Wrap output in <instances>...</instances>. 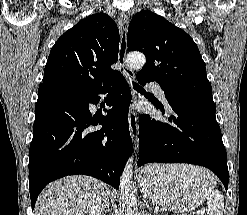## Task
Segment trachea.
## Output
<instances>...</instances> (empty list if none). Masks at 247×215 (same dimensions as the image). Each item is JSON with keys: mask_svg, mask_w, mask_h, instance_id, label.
<instances>
[{"mask_svg": "<svg viewBox=\"0 0 247 215\" xmlns=\"http://www.w3.org/2000/svg\"><path fill=\"white\" fill-rule=\"evenodd\" d=\"M133 88L137 91H144V89L142 87H140L139 85H137L136 83L133 82Z\"/></svg>", "mask_w": 247, "mask_h": 215, "instance_id": "3493384b", "label": "trachea"}]
</instances>
